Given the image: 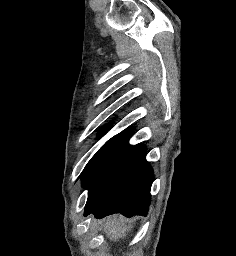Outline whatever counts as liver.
Here are the masks:
<instances>
[{
	"label": "liver",
	"instance_id": "6515ba94",
	"mask_svg": "<svg viewBox=\"0 0 236 256\" xmlns=\"http://www.w3.org/2000/svg\"><path fill=\"white\" fill-rule=\"evenodd\" d=\"M125 222L126 220L123 216H111V218H106L99 224L103 226L104 234L111 242H119L120 238L124 240L125 236L130 232V228L126 226Z\"/></svg>",
	"mask_w": 236,
	"mask_h": 256
}]
</instances>
